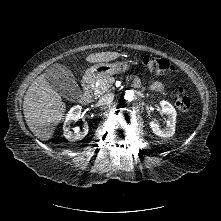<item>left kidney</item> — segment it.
<instances>
[{
	"instance_id": "left-kidney-1",
	"label": "left kidney",
	"mask_w": 221,
	"mask_h": 221,
	"mask_svg": "<svg viewBox=\"0 0 221 221\" xmlns=\"http://www.w3.org/2000/svg\"><path fill=\"white\" fill-rule=\"evenodd\" d=\"M160 105L162 107V112L167 114V126L161 129L155 121L150 122V127L152 131L160 137H171L175 133V124H176V110L175 108L167 101H161Z\"/></svg>"
}]
</instances>
